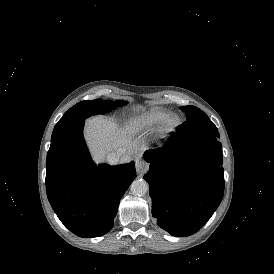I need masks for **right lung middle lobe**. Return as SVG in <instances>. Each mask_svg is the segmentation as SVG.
I'll list each match as a JSON object with an SVG mask.
<instances>
[{
	"instance_id": "1",
	"label": "right lung middle lobe",
	"mask_w": 274,
	"mask_h": 274,
	"mask_svg": "<svg viewBox=\"0 0 274 274\" xmlns=\"http://www.w3.org/2000/svg\"><path fill=\"white\" fill-rule=\"evenodd\" d=\"M126 102L122 100H116L115 102L111 100L103 101L102 99H96L92 101H81L71 107L56 124L51 142L55 141L74 126L84 121L91 115L105 114L116 107L125 105Z\"/></svg>"
}]
</instances>
